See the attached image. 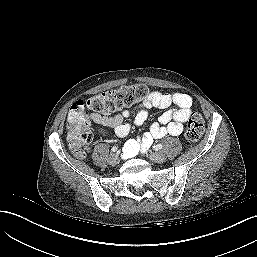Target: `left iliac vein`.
<instances>
[{
  "label": "left iliac vein",
  "mask_w": 257,
  "mask_h": 257,
  "mask_svg": "<svg viewBox=\"0 0 257 257\" xmlns=\"http://www.w3.org/2000/svg\"><path fill=\"white\" fill-rule=\"evenodd\" d=\"M149 159L156 163H163L166 161V156L161 152H155L149 154Z\"/></svg>",
  "instance_id": "left-iliac-vein-1"
}]
</instances>
